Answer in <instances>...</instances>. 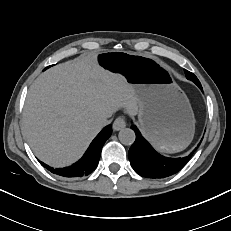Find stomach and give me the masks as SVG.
<instances>
[{
  "mask_svg": "<svg viewBox=\"0 0 231 231\" xmlns=\"http://www.w3.org/2000/svg\"><path fill=\"white\" fill-rule=\"evenodd\" d=\"M103 69L120 74L139 99V126L153 145L167 153L179 152L192 141L194 113L170 71L154 57L126 51L96 54Z\"/></svg>",
  "mask_w": 231,
  "mask_h": 231,
  "instance_id": "obj_1",
  "label": "stomach"
}]
</instances>
